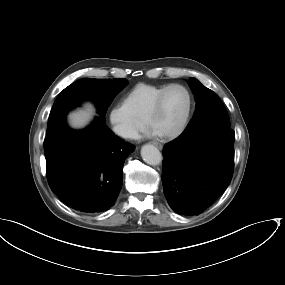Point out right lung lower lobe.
I'll return each mask as SVG.
<instances>
[{"label": "right lung lower lobe", "instance_id": "right-lung-lower-lobe-1", "mask_svg": "<svg viewBox=\"0 0 285 285\" xmlns=\"http://www.w3.org/2000/svg\"><path fill=\"white\" fill-rule=\"evenodd\" d=\"M134 150L100 116L79 131L70 129L64 120L44 140L49 186L74 210L106 211L119 195L123 165Z\"/></svg>", "mask_w": 285, "mask_h": 285}]
</instances>
